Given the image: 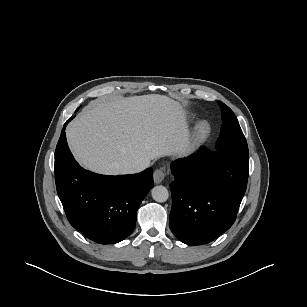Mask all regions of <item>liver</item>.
I'll return each instance as SVG.
<instances>
[{
	"label": "liver",
	"instance_id": "liver-1",
	"mask_svg": "<svg viewBox=\"0 0 307 307\" xmlns=\"http://www.w3.org/2000/svg\"><path fill=\"white\" fill-rule=\"evenodd\" d=\"M68 144L85 168L105 175L183 154L187 123L182 106L158 94L96 99L67 126Z\"/></svg>",
	"mask_w": 307,
	"mask_h": 307
}]
</instances>
